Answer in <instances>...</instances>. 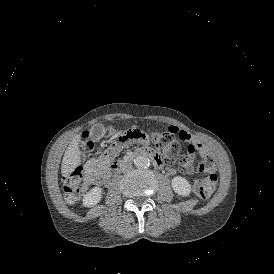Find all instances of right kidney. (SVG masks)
<instances>
[{"instance_id": "obj_1", "label": "right kidney", "mask_w": 274, "mask_h": 274, "mask_svg": "<svg viewBox=\"0 0 274 274\" xmlns=\"http://www.w3.org/2000/svg\"><path fill=\"white\" fill-rule=\"evenodd\" d=\"M101 197L102 189L99 187H94L83 197V205L85 207H93L100 202Z\"/></svg>"}]
</instances>
